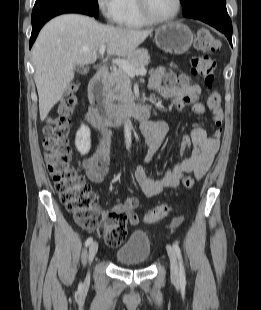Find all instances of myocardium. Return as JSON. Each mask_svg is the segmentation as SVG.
I'll list each match as a JSON object with an SVG mask.
<instances>
[{
	"label": "myocardium",
	"mask_w": 261,
	"mask_h": 310,
	"mask_svg": "<svg viewBox=\"0 0 261 310\" xmlns=\"http://www.w3.org/2000/svg\"><path fill=\"white\" fill-rule=\"evenodd\" d=\"M136 1L141 16L143 17L144 20H146L150 24H163L171 22L178 17L182 8V1L176 0V9L172 15L166 18H156L151 14L147 0H136Z\"/></svg>",
	"instance_id": "myocardium-1"
}]
</instances>
